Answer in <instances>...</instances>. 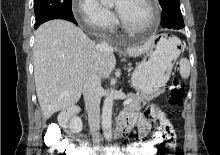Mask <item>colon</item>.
<instances>
[{"label": "colon", "mask_w": 220, "mask_h": 155, "mask_svg": "<svg viewBox=\"0 0 220 155\" xmlns=\"http://www.w3.org/2000/svg\"><path fill=\"white\" fill-rule=\"evenodd\" d=\"M184 89L178 78H173L169 86V99L168 103L173 107H179L183 104ZM49 139L51 143L45 146V151H49L48 155H78L77 152H73L77 147L76 143H65L61 138L59 131L53 129L49 132ZM166 143V135H163L162 129L152 132V139L150 142H142V147H154L155 144H164V146L158 151L159 155H174L172 143Z\"/></svg>", "instance_id": "obj_1"}]
</instances>
